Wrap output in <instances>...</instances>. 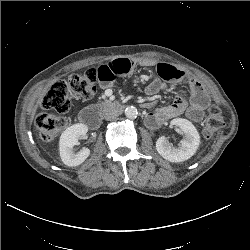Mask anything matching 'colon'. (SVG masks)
Here are the masks:
<instances>
[{
	"label": "colon",
	"mask_w": 250,
	"mask_h": 250,
	"mask_svg": "<svg viewBox=\"0 0 250 250\" xmlns=\"http://www.w3.org/2000/svg\"><path fill=\"white\" fill-rule=\"evenodd\" d=\"M98 71L94 68L83 73L74 74L67 79L56 81L44 96L41 102L42 111L37 115L35 124L44 141L54 140L66 125V119L59 115H53L49 111L66 113L70 110L71 99L80 96L84 99L92 98L96 93ZM224 126L221 110L213 105L209 108V114L202 126V134L205 138L212 137Z\"/></svg>",
	"instance_id": "obj_1"
}]
</instances>
